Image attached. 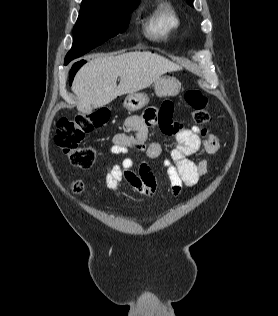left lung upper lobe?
<instances>
[{
	"label": "left lung upper lobe",
	"mask_w": 278,
	"mask_h": 316,
	"mask_svg": "<svg viewBox=\"0 0 278 316\" xmlns=\"http://www.w3.org/2000/svg\"><path fill=\"white\" fill-rule=\"evenodd\" d=\"M187 2H188L189 4H191V3L193 2V0H187Z\"/></svg>",
	"instance_id": "1"
}]
</instances>
